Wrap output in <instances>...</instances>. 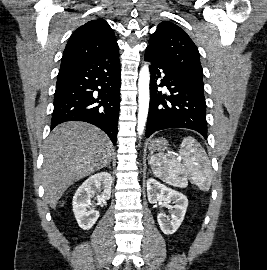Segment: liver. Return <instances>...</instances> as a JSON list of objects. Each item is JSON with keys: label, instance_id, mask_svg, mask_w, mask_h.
<instances>
[{"label": "liver", "instance_id": "liver-1", "mask_svg": "<svg viewBox=\"0 0 267 270\" xmlns=\"http://www.w3.org/2000/svg\"><path fill=\"white\" fill-rule=\"evenodd\" d=\"M112 149L108 136L91 124L70 121L57 126L46 142L42 167L49 206L56 208L71 185L105 167Z\"/></svg>", "mask_w": 267, "mask_h": 270}]
</instances>
